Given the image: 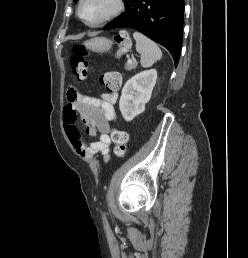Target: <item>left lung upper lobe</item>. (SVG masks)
Instances as JSON below:
<instances>
[{
	"label": "left lung upper lobe",
	"instance_id": "left-lung-upper-lobe-1",
	"mask_svg": "<svg viewBox=\"0 0 248 258\" xmlns=\"http://www.w3.org/2000/svg\"><path fill=\"white\" fill-rule=\"evenodd\" d=\"M78 0H74V2H77ZM130 0H124L125 6L129 3Z\"/></svg>",
	"mask_w": 248,
	"mask_h": 258
}]
</instances>
